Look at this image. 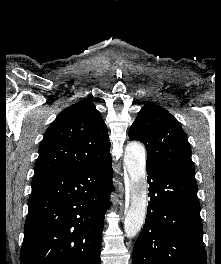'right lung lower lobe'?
Here are the masks:
<instances>
[{
  "instance_id": "obj_1",
  "label": "right lung lower lobe",
  "mask_w": 221,
  "mask_h": 264,
  "mask_svg": "<svg viewBox=\"0 0 221 264\" xmlns=\"http://www.w3.org/2000/svg\"><path fill=\"white\" fill-rule=\"evenodd\" d=\"M111 162L33 178L20 264H100Z\"/></svg>"
}]
</instances>
